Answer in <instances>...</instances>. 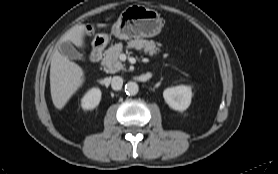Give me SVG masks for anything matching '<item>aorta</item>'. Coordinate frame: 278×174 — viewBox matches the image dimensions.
Returning <instances> with one entry per match:
<instances>
[{"label": "aorta", "instance_id": "1", "mask_svg": "<svg viewBox=\"0 0 278 174\" xmlns=\"http://www.w3.org/2000/svg\"><path fill=\"white\" fill-rule=\"evenodd\" d=\"M125 91L129 95H136L139 91V86L136 82H128L125 86Z\"/></svg>", "mask_w": 278, "mask_h": 174}]
</instances>
